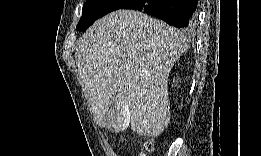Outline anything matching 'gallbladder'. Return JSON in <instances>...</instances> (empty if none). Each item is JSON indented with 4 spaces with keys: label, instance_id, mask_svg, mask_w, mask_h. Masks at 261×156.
I'll return each instance as SVG.
<instances>
[{
    "label": "gallbladder",
    "instance_id": "gallbladder-1",
    "mask_svg": "<svg viewBox=\"0 0 261 156\" xmlns=\"http://www.w3.org/2000/svg\"><path fill=\"white\" fill-rule=\"evenodd\" d=\"M110 107L108 113H106V127L117 131L123 130L129 127V120L131 118V110L126 103H112L106 105Z\"/></svg>",
    "mask_w": 261,
    "mask_h": 156
}]
</instances>
